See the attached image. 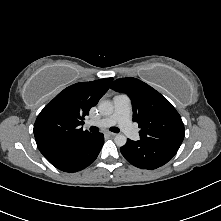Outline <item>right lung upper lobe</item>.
<instances>
[{"instance_id":"1","label":"right lung upper lobe","mask_w":221,"mask_h":221,"mask_svg":"<svg viewBox=\"0 0 221 221\" xmlns=\"http://www.w3.org/2000/svg\"><path fill=\"white\" fill-rule=\"evenodd\" d=\"M113 78L80 82L65 88L38 115L34 136L40 152L54 160L68 144L88 136L83 119L107 92Z\"/></svg>"}]
</instances>
